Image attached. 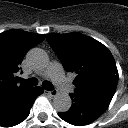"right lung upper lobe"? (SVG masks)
Masks as SVG:
<instances>
[{
	"label": "right lung upper lobe",
	"instance_id": "1",
	"mask_svg": "<svg viewBox=\"0 0 128 128\" xmlns=\"http://www.w3.org/2000/svg\"><path fill=\"white\" fill-rule=\"evenodd\" d=\"M44 34L11 29L0 34V107L26 86L17 84L14 74L19 71L25 54L41 43Z\"/></svg>",
	"mask_w": 128,
	"mask_h": 128
}]
</instances>
